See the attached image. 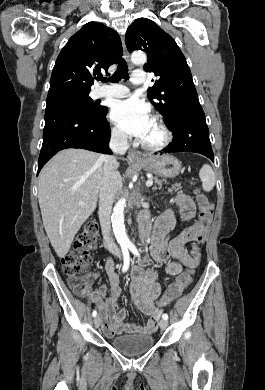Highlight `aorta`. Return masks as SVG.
<instances>
[{
	"label": "aorta",
	"mask_w": 265,
	"mask_h": 390,
	"mask_svg": "<svg viewBox=\"0 0 265 390\" xmlns=\"http://www.w3.org/2000/svg\"><path fill=\"white\" fill-rule=\"evenodd\" d=\"M131 61L136 65H141L146 62V55L142 52H134L131 56ZM126 207V199L121 198L116 203L111 221L114 235L118 241V243L122 247H129L131 242L127 236L125 224H124V209Z\"/></svg>",
	"instance_id": "aorta-1"
}]
</instances>
